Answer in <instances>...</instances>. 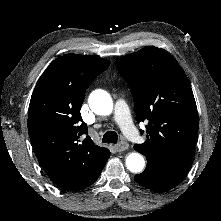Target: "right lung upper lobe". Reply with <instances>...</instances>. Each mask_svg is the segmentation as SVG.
Here are the masks:
<instances>
[{
    "label": "right lung upper lobe",
    "instance_id": "cb5924a9",
    "mask_svg": "<svg viewBox=\"0 0 221 221\" xmlns=\"http://www.w3.org/2000/svg\"><path fill=\"white\" fill-rule=\"evenodd\" d=\"M110 61L90 55L56 58L39 78L31 96L28 131L48 176L66 190L93 184L110 157L87 135L80 109L90 83Z\"/></svg>",
    "mask_w": 221,
    "mask_h": 221
}]
</instances>
